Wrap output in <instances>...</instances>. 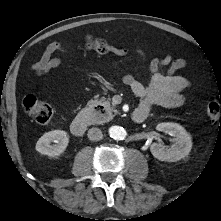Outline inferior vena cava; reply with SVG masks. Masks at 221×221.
<instances>
[{"mask_svg": "<svg viewBox=\"0 0 221 221\" xmlns=\"http://www.w3.org/2000/svg\"><path fill=\"white\" fill-rule=\"evenodd\" d=\"M88 138L92 141H98L102 139V131L99 128L93 127L88 130Z\"/></svg>", "mask_w": 221, "mask_h": 221, "instance_id": "602c4592", "label": "inferior vena cava"}]
</instances>
